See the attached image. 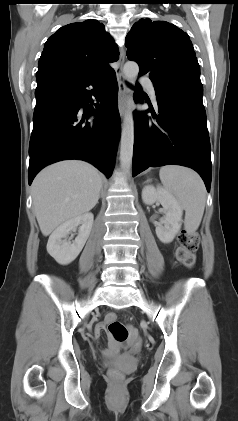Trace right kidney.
Instances as JSON below:
<instances>
[{"label": "right kidney", "mask_w": 238, "mask_h": 421, "mask_svg": "<svg viewBox=\"0 0 238 421\" xmlns=\"http://www.w3.org/2000/svg\"><path fill=\"white\" fill-rule=\"evenodd\" d=\"M94 216L85 213L61 224L49 237L48 253L61 265L72 263L83 249L92 229ZM80 226L79 233L73 242L66 240L71 230Z\"/></svg>", "instance_id": "obj_1"}]
</instances>
